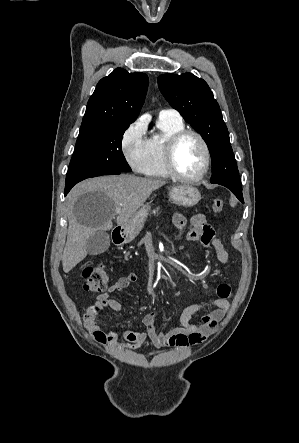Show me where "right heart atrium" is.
Listing matches in <instances>:
<instances>
[{"instance_id":"d8ad5b80","label":"right heart atrium","mask_w":299,"mask_h":443,"mask_svg":"<svg viewBox=\"0 0 299 443\" xmlns=\"http://www.w3.org/2000/svg\"><path fill=\"white\" fill-rule=\"evenodd\" d=\"M146 127L143 121L129 124L122 133L120 147L123 156L132 169L142 172L146 161Z\"/></svg>"}]
</instances>
